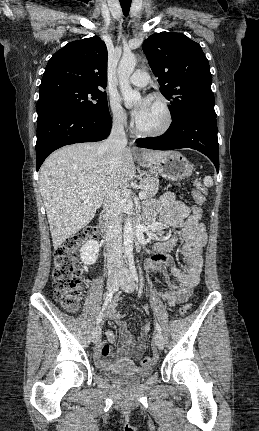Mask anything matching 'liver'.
Wrapping results in <instances>:
<instances>
[{"mask_svg":"<svg viewBox=\"0 0 259 431\" xmlns=\"http://www.w3.org/2000/svg\"><path fill=\"white\" fill-rule=\"evenodd\" d=\"M101 143L68 145L52 153L40 169V193L46 208L53 247L84 228L110 191H117L135 176L130 149L124 148L119 164L110 168ZM168 152L143 150L147 167L159 162ZM94 186L93 192L86 189Z\"/></svg>","mask_w":259,"mask_h":431,"instance_id":"liver-1","label":"liver"}]
</instances>
